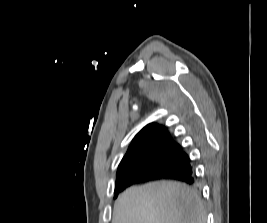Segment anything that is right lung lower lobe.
Instances as JSON below:
<instances>
[{
	"instance_id": "right-lung-lower-lobe-1",
	"label": "right lung lower lobe",
	"mask_w": 267,
	"mask_h": 223,
	"mask_svg": "<svg viewBox=\"0 0 267 223\" xmlns=\"http://www.w3.org/2000/svg\"><path fill=\"white\" fill-rule=\"evenodd\" d=\"M174 179L186 184L192 185L195 182V177L193 174L191 160L188 155H186L172 170L169 172H157V171H135L128 174H124L117 177L115 192L116 196L119 192L124 190L126 187L156 179Z\"/></svg>"
}]
</instances>
